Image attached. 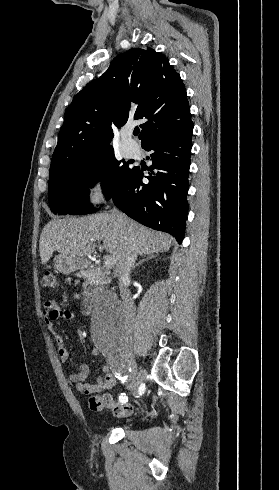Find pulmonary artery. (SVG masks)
Listing matches in <instances>:
<instances>
[{
    "label": "pulmonary artery",
    "mask_w": 279,
    "mask_h": 490,
    "mask_svg": "<svg viewBox=\"0 0 279 490\" xmlns=\"http://www.w3.org/2000/svg\"><path fill=\"white\" fill-rule=\"evenodd\" d=\"M121 134L124 136V137H128L130 134H131V131L128 129V128H124L122 131H121ZM123 144H128V139H123ZM137 150H138V147L136 144H131V145H126L123 147L122 151H123V154L125 157H128V158H132V157H135L136 154H137Z\"/></svg>",
    "instance_id": "1"
}]
</instances>
